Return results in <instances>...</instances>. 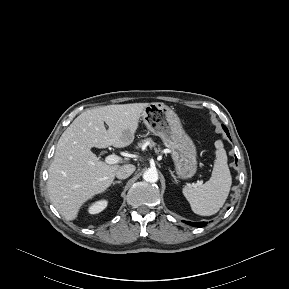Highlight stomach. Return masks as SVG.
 Listing matches in <instances>:
<instances>
[{
  "label": "stomach",
  "mask_w": 289,
  "mask_h": 289,
  "mask_svg": "<svg viewBox=\"0 0 289 289\" xmlns=\"http://www.w3.org/2000/svg\"><path fill=\"white\" fill-rule=\"evenodd\" d=\"M147 129L170 150L177 175L188 179L197 171L196 147L173 109L161 102L150 103L141 114Z\"/></svg>",
  "instance_id": "stomach-1"
}]
</instances>
